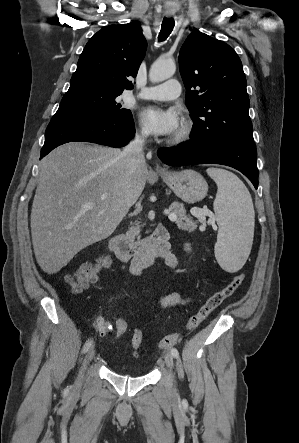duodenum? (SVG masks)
Returning a JSON list of instances; mask_svg holds the SVG:
<instances>
[{"mask_svg":"<svg viewBox=\"0 0 299 443\" xmlns=\"http://www.w3.org/2000/svg\"><path fill=\"white\" fill-rule=\"evenodd\" d=\"M169 233L160 226L147 238L132 241L123 235H113L109 240V248L124 262H131L141 266H149L157 258L162 257L169 250Z\"/></svg>","mask_w":299,"mask_h":443,"instance_id":"410a0bca","label":"duodenum"}]
</instances>
